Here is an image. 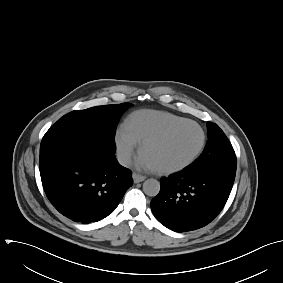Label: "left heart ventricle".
I'll return each mask as SVG.
<instances>
[{
    "instance_id": "1",
    "label": "left heart ventricle",
    "mask_w": 283,
    "mask_h": 283,
    "mask_svg": "<svg viewBox=\"0 0 283 283\" xmlns=\"http://www.w3.org/2000/svg\"><path fill=\"white\" fill-rule=\"evenodd\" d=\"M201 141L199 130L193 125H182L161 141L148 144L145 153L156 168H169L186 161Z\"/></svg>"
}]
</instances>
